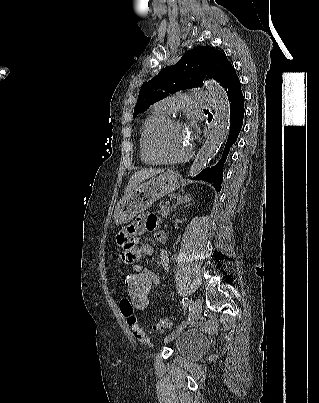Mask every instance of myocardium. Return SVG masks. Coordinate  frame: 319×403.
Instances as JSON below:
<instances>
[{
    "instance_id": "f54148a6",
    "label": "myocardium",
    "mask_w": 319,
    "mask_h": 403,
    "mask_svg": "<svg viewBox=\"0 0 319 403\" xmlns=\"http://www.w3.org/2000/svg\"><path fill=\"white\" fill-rule=\"evenodd\" d=\"M171 126H184V123L177 118H166L153 132L150 140V148L153 155L162 163L180 164L188 161L193 155V145H190L188 152L179 158H170L163 154L160 147V139L163 133Z\"/></svg>"
}]
</instances>
